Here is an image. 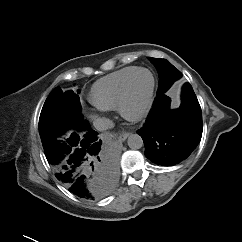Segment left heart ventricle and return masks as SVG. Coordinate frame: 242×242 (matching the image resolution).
I'll use <instances>...</instances> for the list:
<instances>
[{"instance_id":"b2bd125f","label":"left heart ventricle","mask_w":242,"mask_h":242,"mask_svg":"<svg viewBox=\"0 0 242 242\" xmlns=\"http://www.w3.org/2000/svg\"><path fill=\"white\" fill-rule=\"evenodd\" d=\"M151 86V76L147 72H141L137 75L133 82L131 95L129 99V110L131 112H137L143 106L148 91Z\"/></svg>"}]
</instances>
